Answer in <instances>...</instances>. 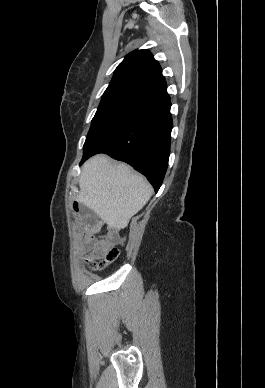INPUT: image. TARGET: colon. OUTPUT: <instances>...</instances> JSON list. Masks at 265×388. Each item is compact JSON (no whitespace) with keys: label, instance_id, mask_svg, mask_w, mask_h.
<instances>
[{"label":"colon","instance_id":"obj_1","mask_svg":"<svg viewBox=\"0 0 265 388\" xmlns=\"http://www.w3.org/2000/svg\"><path fill=\"white\" fill-rule=\"evenodd\" d=\"M74 209L77 210V205H74ZM118 257V250L117 249H111L107 255H106V258L99 262V263H92L91 264V267L92 269H103L104 267H106L110 262L114 261L116 258Z\"/></svg>","mask_w":265,"mask_h":388}]
</instances>
